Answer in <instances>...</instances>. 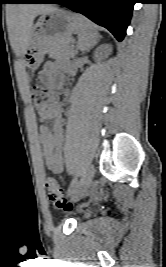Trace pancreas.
Listing matches in <instances>:
<instances>
[{
    "mask_svg": "<svg viewBox=\"0 0 166 267\" xmlns=\"http://www.w3.org/2000/svg\"><path fill=\"white\" fill-rule=\"evenodd\" d=\"M49 55L56 60L69 59L75 56V50L70 46L68 40L60 39L51 45Z\"/></svg>",
    "mask_w": 166,
    "mask_h": 267,
    "instance_id": "1",
    "label": "pancreas"
}]
</instances>
